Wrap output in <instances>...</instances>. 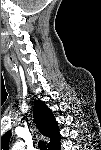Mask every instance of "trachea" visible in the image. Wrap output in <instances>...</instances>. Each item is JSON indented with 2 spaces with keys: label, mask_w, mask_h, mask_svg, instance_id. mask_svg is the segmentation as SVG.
<instances>
[{
  "label": "trachea",
  "mask_w": 101,
  "mask_h": 150,
  "mask_svg": "<svg viewBox=\"0 0 101 150\" xmlns=\"http://www.w3.org/2000/svg\"><path fill=\"white\" fill-rule=\"evenodd\" d=\"M38 146H39L40 150H47V146L44 141H39Z\"/></svg>",
  "instance_id": "obj_1"
}]
</instances>
